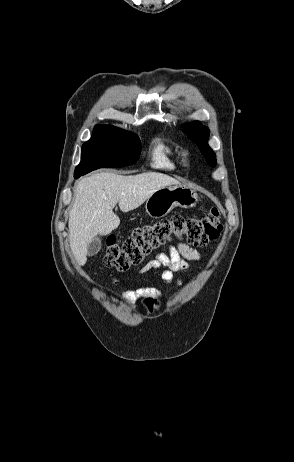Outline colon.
I'll list each match as a JSON object with an SVG mask.
<instances>
[{"instance_id": "1", "label": "colon", "mask_w": 294, "mask_h": 462, "mask_svg": "<svg viewBox=\"0 0 294 462\" xmlns=\"http://www.w3.org/2000/svg\"><path fill=\"white\" fill-rule=\"evenodd\" d=\"M221 231V214L216 208L199 218L177 215L135 229L121 245L109 238L103 263L108 268L125 271L174 238L204 247L215 241Z\"/></svg>"}]
</instances>
